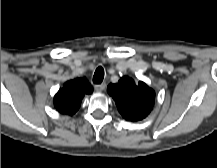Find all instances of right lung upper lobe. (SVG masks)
<instances>
[{"mask_svg":"<svg viewBox=\"0 0 217 168\" xmlns=\"http://www.w3.org/2000/svg\"><path fill=\"white\" fill-rule=\"evenodd\" d=\"M93 91L84 78L67 81L54 97V106L62 114L73 115L81 105L82 98Z\"/></svg>","mask_w":217,"mask_h":168,"instance_id":"right-lung-upper-lobe-1","label":"right lung upper lobe"}]
</instances>
